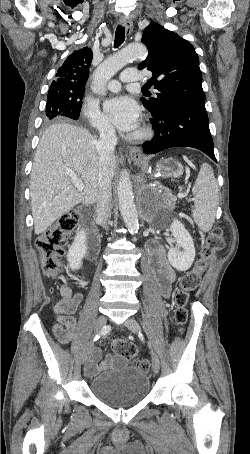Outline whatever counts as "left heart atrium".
<instances>
[{
	"label": "left heart atrium",
	"mask_w": 250,
	"mask_h": 454,
	"mask_svg": "<svg viewBox=\"0 0 250 454\" xmlns=\"http://www.w3.org/2000/svg\"><path fill=\"white\" fill-rule=\"evenodd\" d=\"M104 111L120 131L133 132L139 125V106L128 96L117 95L107 99L104 102Z\"/></svg>",
	"instance_id": "1"
}]
</instances>
